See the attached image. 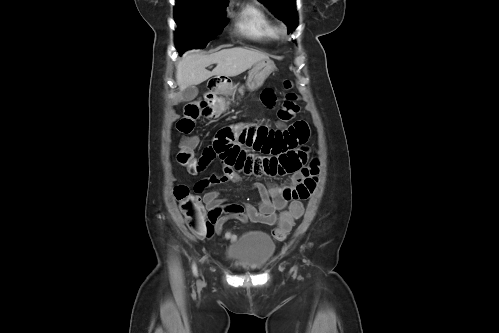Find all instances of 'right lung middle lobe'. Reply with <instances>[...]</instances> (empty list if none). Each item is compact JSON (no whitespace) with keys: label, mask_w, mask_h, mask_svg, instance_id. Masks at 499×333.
<instances>
[{"label":"right lung middle lobe","mask_w":499,"mask_h":333,"mask_svg":"<svg viewBox=\"0 0 499 333\" xmlns=\"http://www.w3.org/2000/svg\"><path fill=\"white\" fill-rule=\"evenodd\" d=\"M228 0H176L175 21L178 52L204 48L223 31Z\"/></svg>","instance_id":"right-lung-middle-lobe-1"}]
</instances>
